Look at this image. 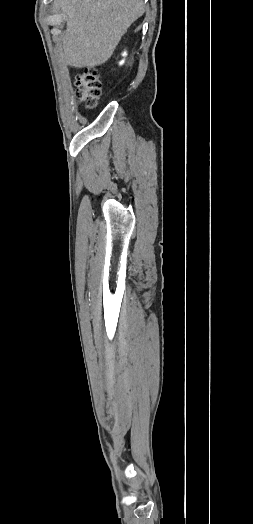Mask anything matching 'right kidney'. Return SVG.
I'll return each mask as SVG.
<instances>
[{
	"instance_id": "ca27d5eb",
	"label": "right kidney",
	"mask_w": 253,
	"mask_h": 524,
	"mask_svg": "<svg viewBox=\"0 0 253 524\" xmlns=\"http://www.w3.org/2000/svg\"><path fill=\"white\" fill-rule=\"evenodd\" d=\"M124 56L126 55V53L123 54ZM124 61H121L120 64H123Z\"/></svg>"
}]
</instances>
